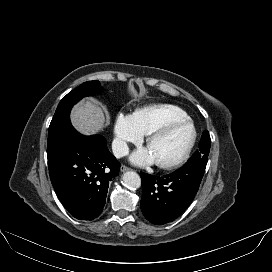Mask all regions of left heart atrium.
I'll return each instance as SVG.
<instances>
[{
  "label": "left heart atrium",
  "instance_id": "1",
  "mask_svg": "<svg viewBox=\"0 0 272 272\" xmlns=\"http://www.w3.org/2000/svg\"><path fill=\"white\" fill-rule=\"evenodd\" d=\"M131 161L137 165H145L156 162L154 156L148 148L141 149L133 153L131 156Z\"/></svg>",
  "mask_w": 272,
  "mask_h": 272
}]
</instances>
